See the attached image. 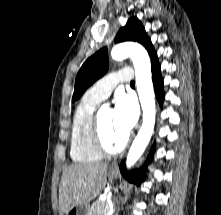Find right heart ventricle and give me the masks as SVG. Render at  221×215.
I'll list each match as a JSON object with an SVG mask.
<instances>
[{"label": "right heart ventricle", "mask_w": 221, "mask_h": 215, "mask_svg": "<svg viewBox=\"0 0 221 215\" xmlns=\"http://www.w3.org/2000/svg\"><path fill=\"white\" fill-rule=\"evenodd\" d=\"M100 101L86 93L76 107L70 136V156L74 162L93 163L102 158L91 136L96 107Z\"/></svg>", "instance_id": "obj_1"}]
</instances>
